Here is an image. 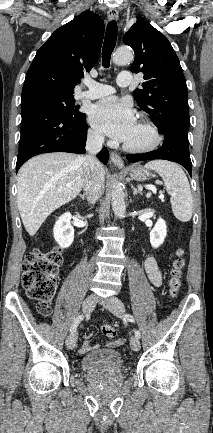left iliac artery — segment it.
<instances>
[{"label":"left iliac artery","instance_id":"1","mask_svg":"<svg viewBox=\"0 0 213 433\" xmlns=\"http://www.w3.org/2000/svg\"><path fill=\"white\" fill-rule=\"evenodd\" d=\"M125 319H127V320L130 321V322H135V318H134L131 314H126V315H125ZM135 336H136L137 338H140V337H141V333H140L139 330H136V331H135Z\"/></svg>","mask_w":213,"mask_h":433}]
</instances>
